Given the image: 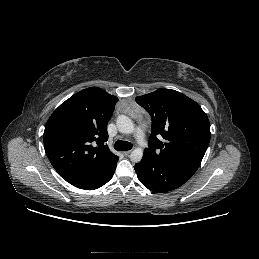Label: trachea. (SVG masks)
Wrapping results in <instances>:
<instances>
[{
	"instance_id": "trachea-1",
	"label": "trachea",
	"mask_w": 259,
	"mask_h": 259,
	"mask_svg": "<svg viewBox=\"0 0 259 259\" xmlns=\"http://www.w3.org/2000/svg\"><path fill=\"white\" fill-rule=\"evenodd\" d=\"M114 148L118 151H127L132 148V144L127 141L117 140L114 144Z\"/></svg>"
}]
</instances>
